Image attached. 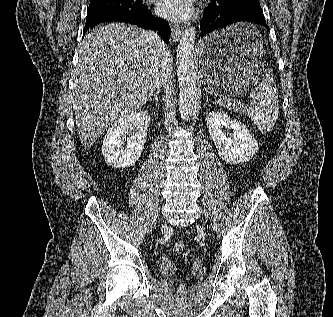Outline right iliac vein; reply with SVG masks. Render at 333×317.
Returning a JSON list of instances; mask_svg holds the SVG:
<instances>
[{
    "mask_svg": "<svg viewBox=\"0 0 333 317\" xmlns=\"http://www.w3.org/2000/svg\"><path fill=\"white\" fill-rule=\"evenodd\" d=\"M161 230H162V231L166 230V225H165V224H162V226H161Z\"/></svg>",
    "mask_w": 333,
    "mask_h": 317,
    "instance_id": "right-iliac-vein-1",
    "label": "right iliac vein"
}]
</instances>
